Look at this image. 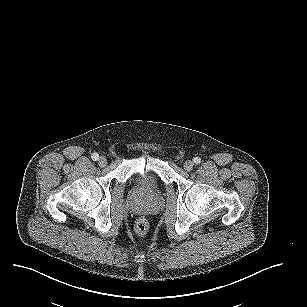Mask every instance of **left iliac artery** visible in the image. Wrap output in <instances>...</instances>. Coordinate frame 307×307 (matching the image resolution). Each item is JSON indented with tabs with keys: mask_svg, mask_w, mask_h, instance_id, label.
<instances>
[{
	"mask_svg": "<svg viewBox=\"0 0 307 307\" xmlns=\"http://www.w3.org/2000/svg\"><path fill=\"white\" fill-rule=\"evenodd\" d=\"M194 164H199L201 162V159L199 157H195L193 159Z\"/></svg>",
	"mask_w": 307,
	"mask_h": 307,
	"instance_id": "44dca946",
	"label": "left iliac artery"
}]
</instances>
